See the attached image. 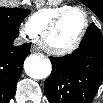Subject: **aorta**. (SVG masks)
I'll return each mask as SVG.
<instances>
[{"instance_id":"1","label":"aorta","mask_w":103,"mask_h":103,"mask_svg":"<svg viewBox=\"0 0 103 103\" xmlns=\"http://www.w3.org/2000/svg\"><path fill=\"white\" fill-rule=\"evenodd\" d=\"M51 62L39 56H30L25 60L24 69L28 76L34 79H44L51 73Z\"/></svg>"}]
</instances>
